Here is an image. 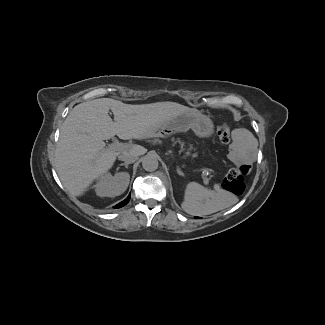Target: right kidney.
Segmentation results:
<instances>
[{"label":"right kidney","instance_id":"right-kidney-1","mask_svg":"<svg viewBox=\"0 0 325 325\" xmlns=\"http://www.w3.org/2000/svg\"><path fill=\"white\" fill-rule=\"evenodd\" d=\"M130 175L126 172H119L112 176L105 173L100 176L95 185L96 194L100 197H116L121 195L128 187Z\"/></svg>","mask_w":325,"mask_h":325}]
</instances>
